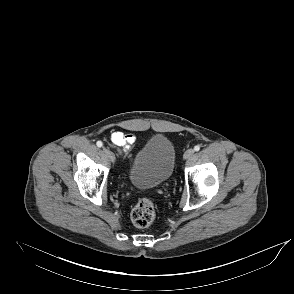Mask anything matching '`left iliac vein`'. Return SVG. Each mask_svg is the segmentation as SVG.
Here are the masks:
<instances>
[{"label": "left iliac vein", "mask_w": 294, "mask_h": 294, "mask_svg": "<svg viewBox=\"0 0 294 294\" xmlns=\"http://www.w3.org/2000/svg\"><path fill=\"white\" fill-rule=\"evenodd\" d=\"M194 154V149L190 148L184 153V159H188Z\"/></svg>", "instance_id": "obj_1"}]
</instances>
